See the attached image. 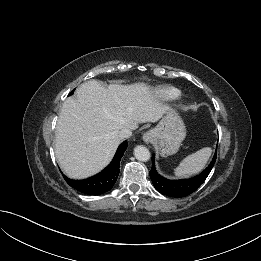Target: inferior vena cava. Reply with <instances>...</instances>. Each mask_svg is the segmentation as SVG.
I'll return each mask as SVG.
<instances>
[{
    "label": "inferior vena cava",
    "mask_w": 261,
    "mask_h": 261,
    "mask_svg": "<svg viewBox=\"0 0 261 261\" xmlns=\"http://www.w3.org/2000/svg\"><path fill=\"white\" fill-rule=\"evenodd\" d=\"M132 134L131 129L129 128H122L119 132H118V136L120 139H125L130 137Z\"/></svg>",
    "instance_id": "obj_1"
}]
</instances>
